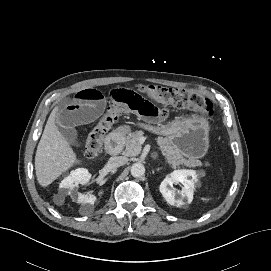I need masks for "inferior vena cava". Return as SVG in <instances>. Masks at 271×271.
Listing matches in <instances>:
<instances>
[{
  "mask_svg": "<svg viewBox=\"0 0 271 271\" xmlns=\"http://www.w3.org/2000/svg\"><path fill=\"white\" fill-rule=\"evenodd\" d=\"M128 161V158L123 157V156H115V157H111L108 161V164L110 167L112 168H117L120 166H123L124 164H126Z\"/></svg>",
  "mask_w": 271,
  "mask_h": 271,
  "instance_id": "602c4592",
  "label": "inferior vena cava"
}]
</instances>
